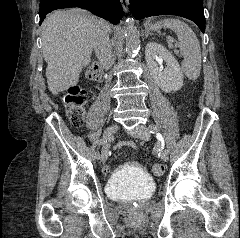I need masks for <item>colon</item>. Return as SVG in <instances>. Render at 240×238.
Wrapping results in <instances>:
<instances>
[{"instance_id": "1", "label": "colon", "mask_w": 240, "mask_h": 238, "mask_svg": "<svg viewBox=\"0 0 240 238\" xmlns=\"http://www.w3.org/2000/svg\"><path fill=\"white\" fill-rule=\"evenodd\" d=\"M87 77L91 80L98 81L101 78V71L98 66H92L87 71ZM66 112L70 123L75 127H80L84 123L87 90L79 85H72L68 88L64 98ZM164 172L162 164L156 163L152 166V173L160 176Z\"/></svg>"}]
</instances>
